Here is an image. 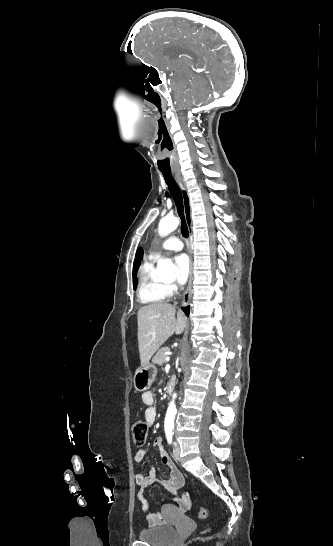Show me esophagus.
<instances>
[{
	"instance_id": "34e87169",
	"label": "esophagus",
	"mask_w": 333,
	"mask_h": 546,
	"mask_svg": "<svg viewBox=\"0 0 333 546\" xmlns=\"http://www.w3.org/2000/svg\"><path fill=\"white\" fill-rule=\"evenodd\" d=\"M174 178L181 190V193H182V196H183V204H184V212H185V217H186V221H187V224L189 226V232H190V235L192 234L191 233V207H190V198H189V194H188V191L186 189V186L184 184V181L182 179V176L180 174H174ZM192 280H193V261H192V256H191V270H190V276H189V282H188V286H187V289L184 293V296H183V300H182V305L183 306H186L188 303H189V300H190V297H191V294H192Z\"/></svg>"
}]
</instances>
